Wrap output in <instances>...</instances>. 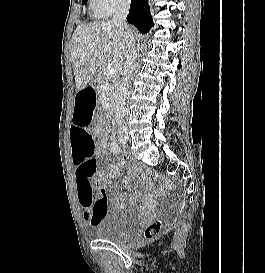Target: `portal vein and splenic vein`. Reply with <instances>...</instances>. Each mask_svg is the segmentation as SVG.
I'll return each instance as SVG.
<instances>
[{"instance_id": "18ae733b", "label": "portal vein and splenic vein", "mask_w": 265, "mask_h": 273, "mask_svg": "<svg viewBox=\"0 0 265 273\" xmlns=\"http://www.w3.org/2000/svg\"><path fill=\"white\" fill-rule=\"evenodd\" d=\"M120 67V63L117 60H113L109 63L107 67V74L112 75L114 74Z\"/></svg>"}]
</instances>
